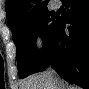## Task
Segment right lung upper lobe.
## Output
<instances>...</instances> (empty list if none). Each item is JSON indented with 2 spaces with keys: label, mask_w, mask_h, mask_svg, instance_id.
Segmentation results:
<instances>
[{
  "label": "right lung upper lobe",
  "mask_w": 89,
  "mask_h": 89,
  "mask_svg": "<svg viewBox=\"0 0 89 89\" xmlns=\"http://www.w3.org/2000/svg\"><path fill=\"white\" fill-rule=\"evenodd\" d=\"M49 0H6V14L9 26L19 20L47 9Z\"/></svg>",
  "instance_id": "right-lung-upper-lobe-1"
}]
</instances>
